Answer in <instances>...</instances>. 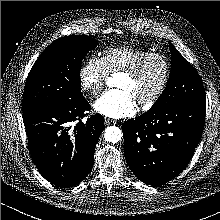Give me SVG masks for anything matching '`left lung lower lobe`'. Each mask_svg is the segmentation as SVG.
Instances as JSON below:
<instances>
[{"instance_id":"0a47b994","label":"left lung lower lobe","mask_w":220,"mask_h":220,"mask_svg":"<svg viewBox=\"0 0 220 220\" xmlns=\"http://www.w3.org/2000/svg\"><path fill=\"white\" fill-rule=\"evenodd\" d=\"M206 101L149 109L123 123L124 152L134 175L152 186L165 184L188 165L204 128Z\"/></svg>"}]
</instances>
